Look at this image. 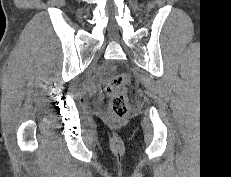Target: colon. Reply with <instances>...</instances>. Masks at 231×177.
I'll use <instances>...</instances> for the list:
<instances>
[{
	"label": "colon",
	"instance_id": "1",
	"mask_svg": "<svg viewBox=\"0 0 231 177\" xmlns=\"http://www.w3.org/2000/svg\"><path fill=\"white\" fill-rule=\"evenodd\" d=\"M131 82L128 73H122L109 79L106 91L110 96V113L113 119L119 120L126 116L129 110L127 86Z\"/></svg>",
	"mask_w": 231,
	"mask_h": 177
}]
</instances>
